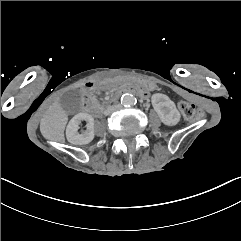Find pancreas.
Masks as SVG:
<instances>
[{"instance_id":"pancreas-1","label":"pancreas","mask_w":241,"mask_h":241,"mask_svg":"<svg viewBox=\"0 0 241 241\" xmlns=\"http://www.w3.org/2000/svg\"><path fill=\"white\" fill-rule=\"evenodd\" d=\"M90 101H91L92 104L98 106L100 110H104L106 108V104H103V105L100 104V102L96 99L95 96H92L90 98Z\"/></svg>"}]
</instances>
